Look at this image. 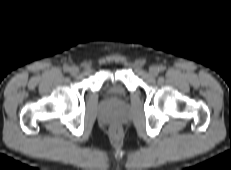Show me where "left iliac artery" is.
<instances>
[{"mask_svg":"<svg viewBox=\"0 0 231 170\" xmlns=\"http://www.w3.org/2000/svg\"><path fill=\"white\" fill-rule=\"evenodd\" d=\"M158 69H159V71H164V70H165V67L161 65V66H159Z\"/></svg>","mask_w":231,"mask_h":170,"instance_id":"44dca946","label":"left iliac artery"}]
</instances>
